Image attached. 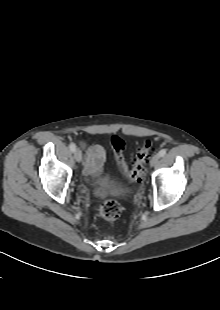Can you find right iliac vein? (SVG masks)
<instances>
[{"instance_id":"63e3f726","label":"right iliac vein","mask_w":220,"mask_h":310,"mask_svg":"<svg viewBox=\"0 0 220 310\" xmlns=\"http://www.w3.org/2000/svg\"><path fill=\"white\" fill-rule=\"evenodd\" d=\"M74 158L77 162H81L82 161V152L79 149H76L74 151Z\"/></svg>"}]
</instances>
